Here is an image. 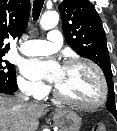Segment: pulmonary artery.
Returning a JSON list of instances; mask_svg holds the SVG:
<instances>
[{
  "label": "pulmonary artery",
  "mask_w": 117,
  "mask_h": 131,
  "mask_svg": "<svg viewBox=\"0 0 117 131\" xmlns=\"http://www.w3.org/2000/svg\"><path fill=\"white\" fill-rule=\"evenodd\" d=\"M62 45V35L58 30H51L47 40H28L22 43L21 51L25 55L39 56L48 55L56 51Z\"/></svg>",
  "instance_id": "obj_1"
}]
</instances>
